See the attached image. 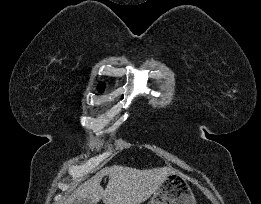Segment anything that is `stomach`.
I'll return each mask as SVG.
<instances>
[{
	"label": "stomach",
	"mask_w": 261,
	"mask_h": 204,
	"mask_svg": "<svg viewBox=\"0 0 261 204\" xmlns=\"http://www.w3.org/2000/svg\"><path fill=\"white\" fill-rule=\"evenodd\" d=\"M149 204H196V199L183 175L172 172L153 193Z\"/></svg>",
	"instance_id": "stomach-1"
}]
</instances>
